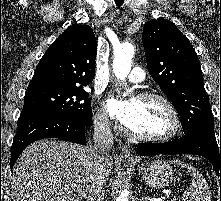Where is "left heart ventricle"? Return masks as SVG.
Here are the masks:
<instances>
[{
	"label": "left heart ventricle",
	"instance_id": "1",
	"mask_svg": "<svg viewBox=\"0 0 221 201\" xmlns=\"http://www.w3.org/2000/svg\"><path fill=\"white\" fill-rule=\"evenodd\" d=\"M131 111L124 126L136 134L164 135L172 128V119L165 106L157 100H131Z\"/></svg>",
	"mask_w": 221,
	"mask_h": 201
}]
</instances>
